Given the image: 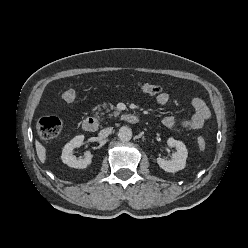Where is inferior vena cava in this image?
Here are the masks:
<instances>
[{
	"label": "inferior vena cava",
	"instance_id": "602c4592",
	"mask_svg": "<svg viewBox=\"0 0 248 248\" xmlns=\"http://www.w3.org/2000/svg\"><path fill=\"white\" fill-rule=\"evenodd\" d=\"M112 132V128H105L99 132V138L103 139L108 137Z\"/></svg>",
	"mask_w": 248,
	"mask_h": 248
}]
</instances>
